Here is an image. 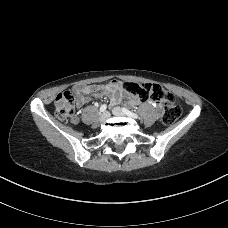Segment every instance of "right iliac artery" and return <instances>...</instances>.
<instances>
[{
	"label": "right iliac artery",
	"mask_w": 228,
	"mask_h": 228,
	"mask_svg": "<svg viewBox=\"0 0 228 228\" xmlns=\"http://www.w3.org/2000/svg\"><path fill=\"white\" fill-rule=\"evenodd\" d=\"M106 109H107V105L106 104H103L100 107V112H104V111H106Z\"/></svg>",
	"instance_id": "82829eb1"
}]
</instances>
